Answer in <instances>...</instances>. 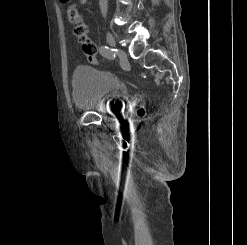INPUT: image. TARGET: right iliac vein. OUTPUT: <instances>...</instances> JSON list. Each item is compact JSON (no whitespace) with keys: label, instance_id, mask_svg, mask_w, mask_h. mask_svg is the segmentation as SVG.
<instances>
[{"label":"right iliac vein","instance_id":"1","mask_svg":"<svg viewBox=\"0 0 247 245\" xmlns=\"http://www.w3.org/2000/svg\"><path fill=\"white\" fill-rule=\"evenodd\" d=\"M106 40H107V43L109 44V46H111V47L116 46L115 38H114L113 34L109 31L106 34ZM119 53L122 54V51L119 50ZM111 60H113V59H111Z\"/></svg>","mask_w":247,"mask_h":245}]
</instances>
